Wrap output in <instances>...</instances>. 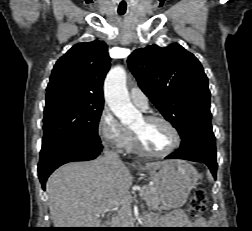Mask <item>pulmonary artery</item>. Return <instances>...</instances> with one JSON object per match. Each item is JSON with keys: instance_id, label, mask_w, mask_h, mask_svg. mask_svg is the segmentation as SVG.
<instances>
[{"instance_id": "1", "label": "pulmonary artery", "mask_w": 252, "mask_h": 231, "mask_svg": "<svg viewBox=\"0 0 252 231\" xmlns=\"http://www.w3.org/2000/svg\"><path fill=\"white\" fill-rule=\"evenodd\" d=\"M130 98L132 102L141 110L146 111L148 109V98L140 88L132 87L130 89Z\"/></svg>"}]
</instances>
